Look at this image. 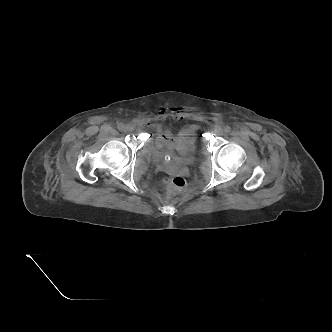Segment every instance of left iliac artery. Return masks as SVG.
I'll use <instances>...</instances> for the list:
<instances>
[{"mask_svg":"<svg viewBox=\"0 0 332 332\" xmlns=\"http://www.w3.org/2000/svg\"><path fill=\"white\" fill-rule=\"evenodd\" d=\"M224 131H225L226 133H229V132L231 131V127H230V126H225V127H224Z\"/></svg>","mask_w":332,"mask_h":332,"instance_id":"1","label":"left iliac artery"}]
</instances>
